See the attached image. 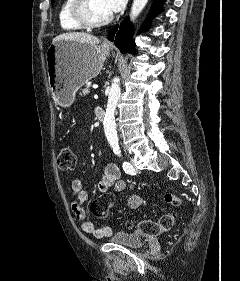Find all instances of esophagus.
<instances>
[{
  "label": "esophagus",
  "instance_id": "1",
  "mask_svg": "<svg viewBox=\"0 0 240 281\" xmlns=\"http://www.w3.org/2000/svg\"><path fill=\"white\" fill-rule=\"evenodd\" d=\"M104 44H105V45H108V46H111V45H112V43H111L110 41H108V40H106V41L104 42Z\"/></svg>",
  "mask_w": 240,
  "mask_h": 281
}]
</instances>
